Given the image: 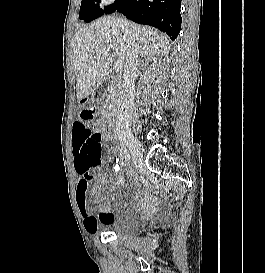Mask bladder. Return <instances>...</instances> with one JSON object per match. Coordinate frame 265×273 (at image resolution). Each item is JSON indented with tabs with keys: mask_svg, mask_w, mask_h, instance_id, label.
<instances>
[{
	"mask_svg": "<svg viewBox=\"0 0 265 273\" xmlns=\"http://www.w3.org/2000/svg\"><path fill=\"white\" fill-rule=\"evenodd\" d=\"M142 221L136 216H117L111 222L103 227L107 232L116 235H133L136 234L141 226Z\"/></svg>",
	"mask_w": 265,
	"mask_h": 273,
	"instance_id": "bladder-1",
	"label": "bladder"
}]
</instances>
